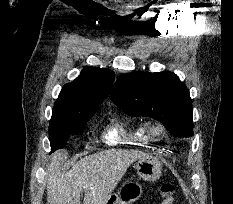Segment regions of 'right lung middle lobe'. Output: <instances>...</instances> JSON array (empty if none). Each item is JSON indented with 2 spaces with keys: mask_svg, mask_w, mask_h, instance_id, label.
Wrapping results in <instances>:
<instances>
[{
  "mask_svg": "<svg viewBox=\"0 0 233 204\" xmlns=\"http://www.w3.org/2000/svg\"><path fill=\"white\" fill-rule=\"evenodd\" d=\"M95 112L85 114L83 116L69 119L61 122L59 125L49 126V136L51 143V152L63 148L70 133H81L88 120Z\"/></svg>",
  "mask_w": 233,
  "mask_h": 204,
  "instance_id": "dd1d6c3e",
  "label": "right lung middle lobe"
}]
</instances>
